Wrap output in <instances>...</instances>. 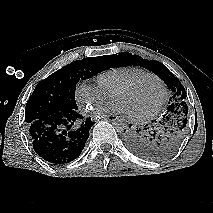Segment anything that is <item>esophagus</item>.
<instances>
[{"label":"esophagus","instance_id":"esophagus-1","mask_svg":"<svg viewBox=\"0 0 213 213\" xmlns=\"http://www.w3.org/2000/svg\"><path fill=\"white\" fill-rule=\"evenodd\" d=\"M100 119H117V116L116 115H101V116H98Z\"/></svg>","mask_w":213,"mask_h":213}]
</instances>
